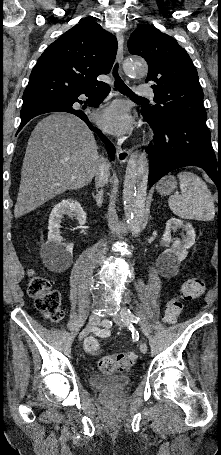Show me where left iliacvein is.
I'll use <instances>...</instances> for the list:
<instances>
[{
    "instance_id": "1",
    "label": "left iliac vein",
    "mask_w": 221,
    "mask_h": 455,
    "mask_svg": "<svg viewBox=\"0 0 221 455\" xmlns=\"http://www.w3.org/2000/svg\"><path fill=\"white\" fill-rule=\"evenodd\" d=\"M113 321H114L117 325H119V326H124V322H123V320H122L121 314L114 315V316H113ZM140 351H141L143 354H146L147 351H148L147 344H146L144 341H142V342L140 343Z\"/></svg>"
}]
</instances>
